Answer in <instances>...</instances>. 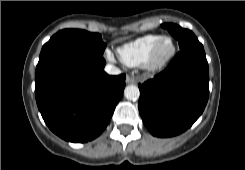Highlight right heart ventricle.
I'll list each match as a JSON object with an SVG mask.
<instances>
[{
    "label": "right heart ventricle",
    "mask_w": 245,
    "mask_h": 170,
    "mask_svg": "<svg viewBox=\"0 0 245 170\" xmlns=\"http://www.w3.org/2000/svg\"><path fill=\"white\" fill-rule=\"evenodd\" d=\"M160 38L158 35H145L136 38L117 49V53L126 65L135 67L144 63L149 51Z\"/></svg>",
    "instance_id": "1"
}]
</instances>
